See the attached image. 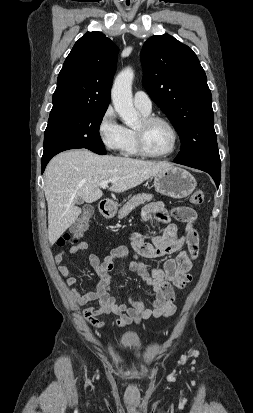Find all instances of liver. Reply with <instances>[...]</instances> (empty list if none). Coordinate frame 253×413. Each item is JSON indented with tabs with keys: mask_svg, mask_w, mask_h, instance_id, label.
<instances>
[{
	"mask_svg": "<svg viewBox=\"0 0 253 413\" xmlns=\"http://www.w3.org/2000/svg\"><path fill=\"white\" fill-rule=\"evenodd\" d=\"M172 166L168 162L99 156L86 149L58 154L48 163L44 173L50 245H53L80 215L81 208L75 205L79 198L92 203L102 197L101 182L114 179L115 182H111L109 190L121 193Z\"/></svg>",
	"mask_w": 253,
	"mask_h": 413,
	"instance_id": "6515ba94",
	"label": "liver"
}]
</instances>
